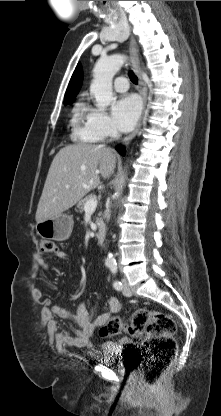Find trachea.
<instances>
[{
    "label": "trachea",
    "instance_id": "1",
    "mask_svg": "<svg viewBox=\"0 0 221 416\" xmlns=\"http://www.w3.org/2000/svg\"><path fill=\"white\" fill-rule=\"evenodd\" d=\"M129 77H130V80L132 81V83L137 84L138 78L132 71L129 72Z\"/></svg>",
    "mask_w": 221,
    "mask_h": 416
}]
</instances>
